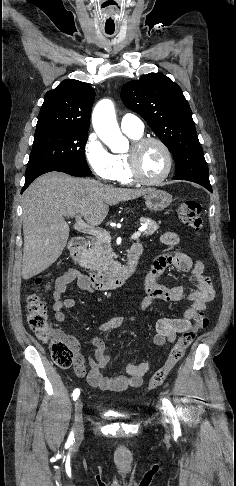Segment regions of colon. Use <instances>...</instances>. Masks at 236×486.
<instances>
[{"instance_id":"colon-1","label":"colon","mask_w":236,"mask_h":486,"mask_svg":"<svg viewBox=\"0 0 236 486\" xmlns=\"http://www.w3.org/2000/svg\"><path fill=\"white\" fill-rule=\"evenodd\" d=\"M180 221L193 230H200L202 227L201 206L193 200H184L178 208ZM42 283V278H37L36 285ZM27 322L31 330L42 341L49 343V350L54 363L61 368H69L74 363V352L69 343L65 340L59 330L51 328L47 307L38 292L30 294L27 298ZM208 319L200 312L195 317V325L185 331L178 338L171 348L169 357L165 364L152 375L147 389L153 390L161 386L175 365L183 358L186 349L195 339L197 330L206 327Z\"/></svg>"}]
</instances>
